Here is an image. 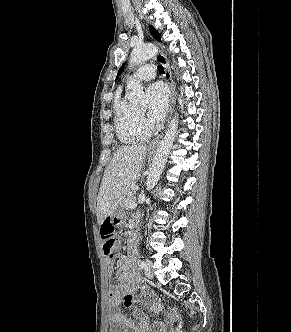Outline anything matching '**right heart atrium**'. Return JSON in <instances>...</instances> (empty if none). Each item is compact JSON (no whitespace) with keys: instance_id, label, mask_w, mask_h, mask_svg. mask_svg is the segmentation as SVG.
I'll use <instances>...</instances> for the list:
<instances>
[{"instance_id":"1","label":"right heart atrium","mask_w":291,"mask_h":332,"mask_svg":"<svg viewBox=\"0 0 291 332\" xmlns=\"http://www.w3.org/2000/svg\"><path fill=\"white\" fill-rule=\"evenodd\" d=\"M139 121H140V124H141L143 127H146V126H147L146 120H145L142 116H140Z\"/></svg>"}]
</instances>
